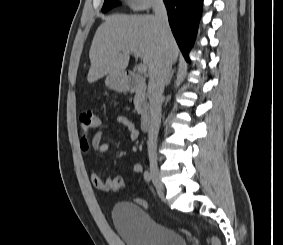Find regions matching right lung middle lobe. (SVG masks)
<instances>
[{"label": "right lung middle lobe", "instance_id": "right-lung-middle-lobe-1", "mask_svg": "<svg viewBox=\"0 0 283 245\" xmlns=\"http://www.w3.org/2000/svg\"><path fill=\"white\" fill-rule=\"evenodd\" d=\"M118 4L117 0H105L102 7V12H107Z\"/></svg>", "mask_w": 283, "mask_h": 245}]
</instances>
